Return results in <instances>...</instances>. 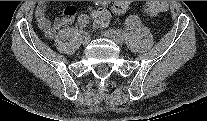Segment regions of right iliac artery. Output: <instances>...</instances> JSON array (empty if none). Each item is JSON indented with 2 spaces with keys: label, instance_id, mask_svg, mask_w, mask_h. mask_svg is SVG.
<instances>
[{
  "label": "right iliac artery",
  "instance_id": "1",
  "mask_svg": "<svg viewBox=\"0 0 207 121\" xmlns=\"http://www.w3.org/2000/svg\"><path fill=\"white\" fill-rule=\"evenodd\" d=\"M88 23H89V17L87 15L84 14L79 17L78 24L82 32L85 31V28L87 27Z\"/></svg>",
  "mask_w": 207,
  "mask_h": 121
}]
</instances>
